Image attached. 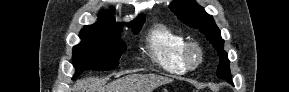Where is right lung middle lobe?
Instances as JSON below:
<instances>
[{"instance_id":"obj_1","label":"right lung middle lobe","mask_w":289,"mask_h":92,"mask_svg":"<svg viewBox=\"0 0 289 92\" xmlns=\"http://www.w3.org/2000/svg\"><path fill=\"white\" fill-rule=\"evenodd\" d=\"M143 23L133 28L138 34ZM121 30L103 31L83 28L80 32L81 43L73 48V65L77 77L86 69L108 71L119 65V59L126 50V44L120 39Z\"/></svg>"}]
</instances>
